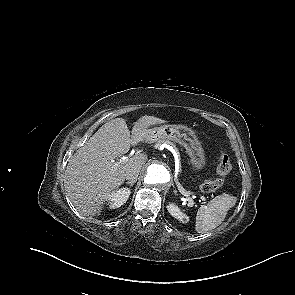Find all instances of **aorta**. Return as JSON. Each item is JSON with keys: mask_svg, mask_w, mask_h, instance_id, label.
Listing matches in <instances>:
<instances>
[{"mask_svg": "<svg viewBox=\"0 0 295 295\" xmlns=\"http://www.w3.org/2000/svg\"><path fill=\"white\" fill-rule=\"evenodd\" d=\"M170 181V173L168 169L158 163H152L147 167L144 182L150 188L165 186Z\"/></svg>", "mask_w": 295, "mask_h": 295, "instance_id": "762f6f07", "label": "aorta"}]
</instances>
